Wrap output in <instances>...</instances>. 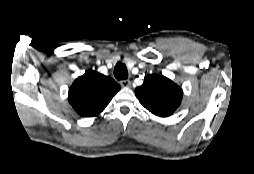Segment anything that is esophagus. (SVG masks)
Segmentation results:
<instances>
[{
	"instance_id": "obj_1",
	"label": "esophagus",
	"mask_w": 254,
	"mask_h": 174,
	"mask_svg": "<svg viewBox=\"0 0 254 174\" xmlns=\"http://www.w3.org/2000/svg\"><path fill=\"white\" fill-rule=\"evenodd\" d=\"M120 85L123 88H130L131 87V81L130 80H121Z\"/></svg>"
}]
</instances>
